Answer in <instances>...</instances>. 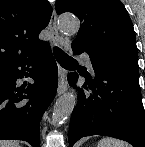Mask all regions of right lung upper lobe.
<instances>
[{
	"label": "right lung upper lobe",
	"instance_id": "obj_1",
	"mask_svg": "<svg viewBox=\"0 0 145 147\" xmlns=\"http://www.w3.org/2000/svg\"><path fill=\"white\" fill-rule=\"evenodd\" d=\"M51 14L47 0H0V68L46 46L38 35L48 25Z\"/></svg>",
	"mask_w": 145,
	"mask_h": 147
}]
</instances>
